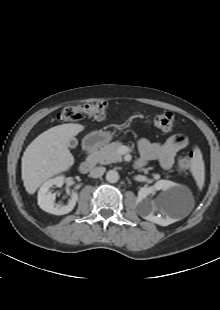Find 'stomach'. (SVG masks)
Masks as SVG:
<instances>
[{
    "label": "stomach",
    "instance_id": "1",
    "mask_svg": "<svg viewBox=\"0 0 220 310\" xmlns=\"http://www.w3.org/2000/svg\"><path fill=\"white\" fill-rule=\"evenodd\" d=\"M112 139V135L106 131H93L88 134L85 139L84 143L87 147H99L103 144L108 143Z\"/></svg>",
    "mask_w": 220,
    "mask_h": 310
}]
</instances>
